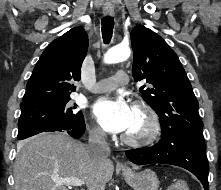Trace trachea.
Listing matches in <instances>:
<instances>
[{"instance_id": "trachea-1", "label": "trachea", "mask_w": 221, "mask_h": 190, "mask_svg": "<svg viewBox=\"0 0 221 190\" xmlns=\"http://www.w3.org/2000/svg\"><path fill=\"white\" fill-rule=\"evenodd\" d=\"M102 37L105 44H109L113 35L114 19L111 16H106L101 20Z\"/></svg>"}]
</instances>
